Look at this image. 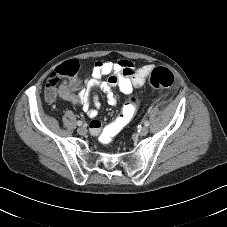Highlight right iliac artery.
Returning a JSON list of instances; mask_svg holds the SVG:
<instances>
[{"mask_svg": "<svg viewBox=\"0 0 227 227\" xmlns=\"http://www.w3.org/2000/svg\"><path fill=\"white\" fill-rule=\"evenodd\" d=\"M77 125L78 126H82L83 125V122L82 121H77Z\"/></svg>", "mask_w": 227, "mask_h": 227, "instance_id": "1", "label": "right iliac artery"}]
</instances>
